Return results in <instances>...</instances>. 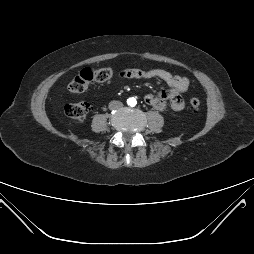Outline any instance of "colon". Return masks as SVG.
I'll return each mask as SVG.
<instances>
[{
  "instance_id": "colon-1",
  "label": "colon",
  "mask_w": 254,
  "mask_h": 254,
  "mask_svg": "<svg viewBox=\"0 0 254 254\" xmlns=\"http://www.w3.org/2000/svg\"><path fill=\"white\" fill-rule=\"evenodd\" d=\"M113 75V69L110 67L100 69L85 68L71 80L68 85V90L71 93H81L91 84L109 81ZM190 105L195 109L199 108L201 101L197 97H192L190 99ZM64 111L70 119L83 121L89 111V105L85 102L69 103L65 105Z\"/></svg>"
}]
</instances>
